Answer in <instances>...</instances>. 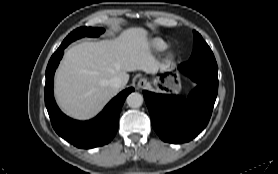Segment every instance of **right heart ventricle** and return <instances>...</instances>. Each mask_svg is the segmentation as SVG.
<instances>
[{"label": "right heart ventricle", "instance_id": "right-heart-ventricle-1", "mask_svg": "<svg viewBox=\"0 0 278 174\" xmlns=\"http://www.w3.org/2000/svg\"><path fill=\"white\" fill-rule=\"evenodd\" d=\"M151 45L152 48L157 52L164 51L167 48V43L161 39L153 40Z\"/></svg>", "mask_w": 278, "mask_h": 174}]
</instances>
